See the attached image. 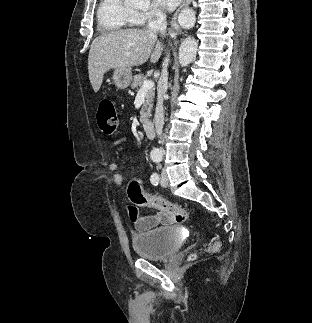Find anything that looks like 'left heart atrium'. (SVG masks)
I'll list each match as a JSON object with an SVG mask.
<instances>
[{"label":"left heart atrium","instance_id":"1","mask_svg":"<svg viewBox=\"0 0 312 323\" xmlns=\"http://www.w3.org/2000/svg\"><path fill=\"white\" fill-rule=\"evenodd\" d=\"M157 7L162 8L163 12H176L181 7L184 0H156Z\"/></svg>","mask_w":312,"mask_h":323}]
</instances>
